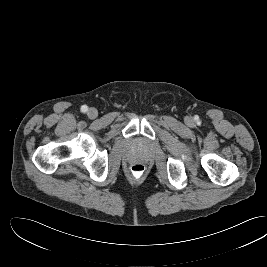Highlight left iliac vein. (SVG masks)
Masks as SVG:
<instances>
[{
	"label": "left iliac vein",
	"instance_id": "1",
	"mask_svg": "<svg viewBox=\"0 0 267 267\" xmlns=\"http://www.w3.org/2000/svg\"><path fill=\"white\" fill-rule=\"evenodd\" d=\"M188 123L189 124H192L193 123V120L191 118H188Z\"/></svg>",
	"mask_w": 267,
	"mask_h": 267
}]
</instances>
